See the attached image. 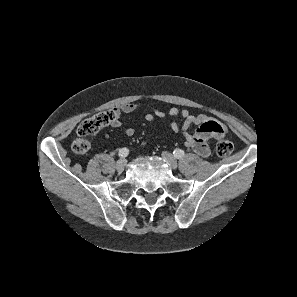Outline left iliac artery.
I'll return each instance as SVG.
<instances>
[{
	"mask_svg": "<svg viewBox=\"0 0 297 297\" xmlns=\"http://www.w3.org/2000/svg\"><path fill=\"white\" fill-rule=\"evenodd\" d=\"M173 155H174L176 158L180 159V158H182V157L185 155V152H184L182 149H175V150L173 151Z\"/></svg>",
	"mask_w": 297,
	"mask_h": 297,
	"instance_id": "left-iliac-artery-1",
	"label": "left iliac artery"
}]
</instances>
